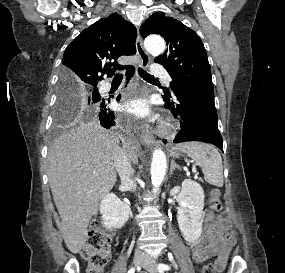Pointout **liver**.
<instances>
[{
	"label": "liver",
	"instance_id": "6515ba94",
	"mask_svg": "<svg viewBox=\"0 0 285 273\" xmlns=\"http://www.w3.org/2000/svg\"><path fill=\"white\" fill-rule=\"evenodd\" d=\"M119 143L118 134L91 122L64 132L50 146L49 184L62 220L59 229L74 254L86 241L87 227L98 212L100 199L115 184L114 157ZM124 150L138 163L132 142H126Z\"/></svg>",
	"mask_w": 285,
	"mask_h": 273
}]
</instances>
